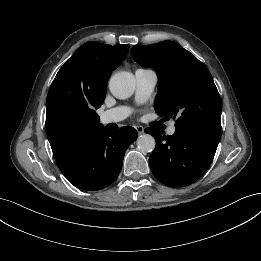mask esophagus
Wrapping results in <instances>:
<instances>
[{
	"instance_id": "1",
	"label": "esophagus",
	"mask_w": 261,
	"mask_h": 261,
	"mask_svg": "<svg viewBox=\"0 0 261 261\" xmlns=\"http://www.w3.org/2000/svg\"><path fill=\"white\" fill-rule=\"evenodd\" d=\"M136 130L138 132L139 135L143 134L144 133V128L142 126H137L136 127Z\"/></svg>"
}]
</instances>
